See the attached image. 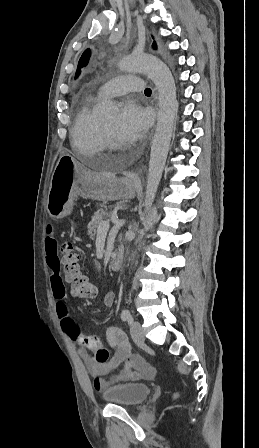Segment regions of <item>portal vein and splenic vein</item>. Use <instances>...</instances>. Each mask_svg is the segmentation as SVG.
I'll return each instance as SVG.
<instances>
[{
  "label": "portal vein and splenic vein",
  "mask_w": 259,
  "mask_h": 448,
  "mask_svg": "<svg viewBox=\"0 0 259 448\" xmlns=\"http://www.w3.org/2000/svg\"><path fill=\"white\" fill-rule=\"evenodd\" d=\"M114 220H117V216H115ZM109 228V220H107V222H100L99 228H97V234H102V232H104V234H107Z\"/></svg>",
  "instance_id": "1"
}]
</instances>
